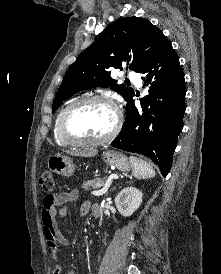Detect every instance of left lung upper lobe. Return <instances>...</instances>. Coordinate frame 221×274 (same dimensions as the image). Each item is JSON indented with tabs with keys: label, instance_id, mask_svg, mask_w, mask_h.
Returning a JSON list of instances; mask_svg holds the SVG:
<instances>
[{
	"label": "left lung upper lobe",
	"instance_id": "obj_1",
	"mask_svg": "<svg viewBox=\"0 0 221 274\" xmlns=\"http://www.w3.org/2000/svg\"><path fill=\"white\" fill-rule=\"evenodd\" d=\"M169 41L146 19L122 18L108 25L97 40L69 67L53 101V112L77 92L93 87H111L128 101L134 91L117 85L112 69L127 66L142 73Z\"/></svg>",
	"mask_w": 221,
	"mask_h": 274
}]
</instances>
